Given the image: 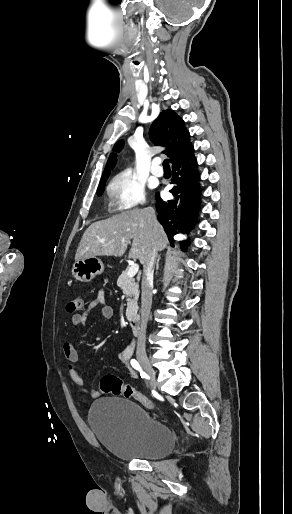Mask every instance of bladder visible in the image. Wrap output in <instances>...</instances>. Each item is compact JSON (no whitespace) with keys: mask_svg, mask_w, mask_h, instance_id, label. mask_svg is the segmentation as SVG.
<instances>
[{"mask_svg":"<svg viewBox=\"0 0 292 514\" xmlns=\"http://www.w3.org/2000/svg\"><path fill=\"white\" fill-rule=\"evenodd\" d=\"M88 423L100 444L119 460H155L175 446L172 428L139 404L122 398L96 400Z\"/></svg>","mask_w":292,"mask_h":514,"instance_id":"31cf9c89","label":"bladder"}]
</instances>
